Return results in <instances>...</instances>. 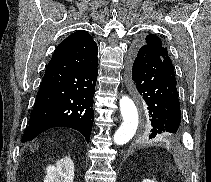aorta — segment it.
Segmentation results:
<instances>
[{
  "label": "aorta",
  "instance_id": "aorta-1",
  "mask_svg": "<svg viewBox=\"0 0 211 182\" xmlns=\"http://www.w3.org/2000/svg\"><path fill=\"white\" fill-rule=\"evenodd\" d=\"M119 104L123 122L115 132L113 138L117 145H124L135 135L139 117L134 102L128 96H123Z\"/></svg>",
  "mask_w": 211,
  "mask_h": 182
}]
</instances>
